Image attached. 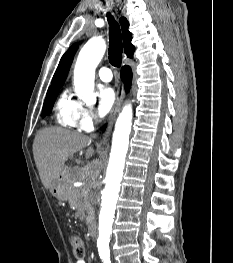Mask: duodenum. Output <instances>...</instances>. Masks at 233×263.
I'll use <instances>...</instances> for the list:
<instances>
[{"instance_id":"duodenum-1","label":"duodenum","mask_w":233,"mask_h":263,"mask_svg":"<svg viewBox=\"0 0 233 263\" xmlns=\"http://www.w3.org/2000/svg\"><path fill=\"white\" fill-rule=\"evenodd\" d=\"M89 235L91 238H95L96 237V233H97V226H96V223L95 222H91L89 224Z\"/></svg>"}]
</instances>
